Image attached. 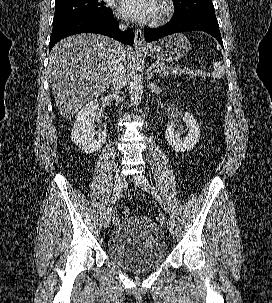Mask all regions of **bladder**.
I'll use <instances>...</instances> for the list:
<instances>
[{"instance_id":"1","label":"bladder","mask_w":272,"mask_h":303,"mask_svg":"<svg viewBox=\"0 0 272 303\" xmlns=\"http://www.w3.org/2000/svg\"><path fill=\"white\" fill-rule=\"evenodd\" d=\"M106 253L117 265L131 271L160 266L167 258V243L161 227L143 216H129L110 234Z\"/></svg>"}]
</instances>
